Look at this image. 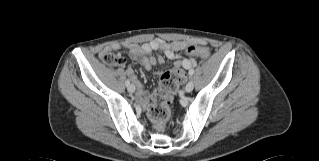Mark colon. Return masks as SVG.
<instances>
[{
    "mask_svg": "<svg viewBox=\"0 0 319 161\" xmlns=\"http://www.w3.org/2000/svg\"><path fill=\"white\" fill-rule=\"evenodd\" d=\"M195 50L193 45L187 48L188 52ZM209 57V50L203 49L199 52V58L206 60ZM103 62L111 67L122 66L125 57L114 51L106 52L103 55ZM183 82V71L179 67H174L165 72L160 80V84L152 94V102L148 107V114L157 124H165L171 117V103L173 95Z\"/></svg>",
    "mask_w": 319,
    "mask_h": 161,
    "instance_id": "colon-1",
    "label": "colon"
}]
</instances>
